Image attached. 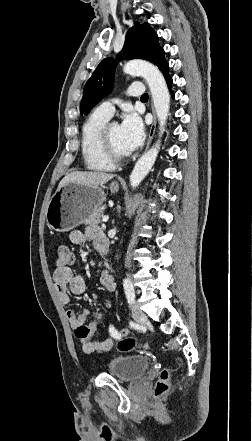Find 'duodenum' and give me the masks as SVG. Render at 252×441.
Listing matches in <instances>:
<instances>
[{"instance_id":"obj_1","label":"duodenum","mask_w":252,"mask_h":441,"mask_svg":"<svg viewBox=\"0 0 252 441\" xmlns=\"http://www.w3.org/2000/svg\"><path fill=\"white\" fill-rule=\"evenodd\" d=\"M107 249H108V240L107 239H103L102 243H101V246H99V248H98V251L101 254H106Z\"/></svg>"}]
</instances>
